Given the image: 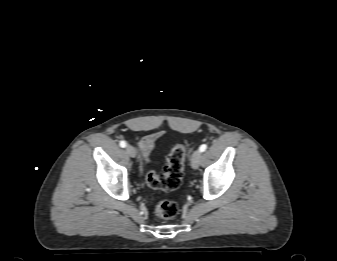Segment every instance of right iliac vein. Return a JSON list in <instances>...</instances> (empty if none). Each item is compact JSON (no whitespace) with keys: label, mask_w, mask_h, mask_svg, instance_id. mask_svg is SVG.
Instances as JSON below:
<instances>
[{"label":"right iliac vein","mask_w":337,"mask_h":261,"mask_svg":"<svg viewBox=\"0 0 337 261\" xmlns=\"http://www.w3.org/2000/svg\"><path fill=\"white\" fill-rule=\"evenodd\" d=\"M126 153L130 156V157H135L136 156V149L133 146H126Z\"/></svg>","instance_id":"right-iliac-vein-1"}]
</instances>
